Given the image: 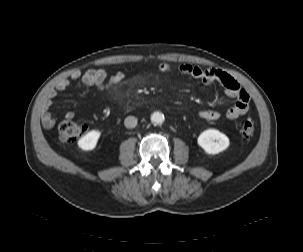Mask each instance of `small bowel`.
<instances>
[{
    "mask_svg": "<svg viewBox=\"0 0 303 252\" xmlns=\"http://www.w3.org/2000/svg\"><path fill=\"white\" fill-rule=\"evenodd\" d=\"M159 70L162 73L176 71L182 76H189L199 80L203 85L210 86L214 83H219L224 93L235 99V104L224 114L212 109H205L198 113L199 118L210 121L219 122L224 119L234 120L237 117L245 114L249 110V95L245 89L229 74L217 70L215 68H202L196 65L178 63L173 66L167 62L159 64ZM126 78L125 73L117 72L109 76L104 69H90L85 72L76 71L70 76L58 81L50 90L48 97L44 103L41 115L42 124L46 128L54 126L57 117L51 112L52 101L58 92L64 91L75 81L80 80L86 85H93L100 90H109L119 86ZM66 119H72L74 114L67 111L63 114Z\"/></svg>",
    "mask_w": 303,
    "mask_h": 252,
    "instance_id": "small-bowel-1",
    "label": "small bowel"
}]
</instances>
